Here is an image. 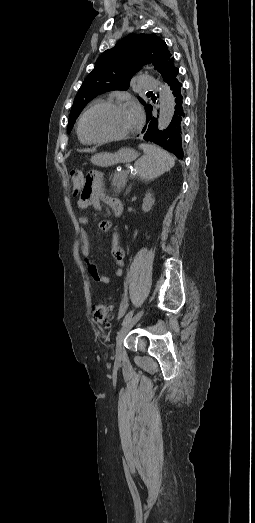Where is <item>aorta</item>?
Returning a JSON list of instances; mask_svg holds the SVG:
<instances>
[{
	"label": "aorta",
	"instance_id": "762f6f07",
	"mask_svg": "<svg viewBox=\"0 0 255 523\" xmlns=\"http://www.w3.org/2000/svg\"><path fill=\"white\" fill-rule=\"evenodd\" d=\"M160 110L158 118L159 130L165 129L172 119L174 111V98L172 91L167 84H161L159 87Z\"/></svg>",
	"mask_w": 255,
	"mask_h": 523
}]
</instances>
